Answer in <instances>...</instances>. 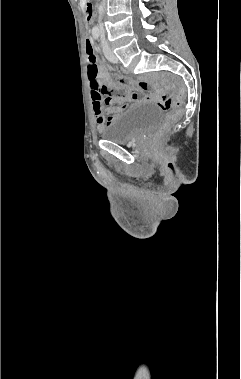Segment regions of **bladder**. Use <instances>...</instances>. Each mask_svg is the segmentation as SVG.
Returning a JSON list of instances; mask_svg holds the SVG:
<instances>
[{
	"instance_id": "31cf9c89",
	"label": "bladder",
	"mask_w": 241,
	"mask_h": 379,
	"mask_svg": "<svg viewBox=\"0 0 241 379\" xmlns=\"http://www.w3.org/2000/svg\"><path fill=\"white\" fill-rule=\"evenodd\" d=\"M163 114L152 104L140 103L115 117L100 132L105 140L126 144L145 132L154 129L161 122Z\"/></svg>"
}]
</instances>
